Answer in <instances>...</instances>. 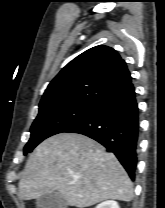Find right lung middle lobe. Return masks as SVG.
<instances>
[{
	"mask_svg": "<svg viewBox=\"0 0 165 208\" xmlns=\"http://www.w3.org/2000/svg\"><path fill=\"white\" fill-rule=\"evenodd\" d=\"M95 103L64 102L39 108V113L31 126V138L24 148V155L31 152L44 139L66 132L84 119Z\"/></svg>",
	"mask_w": 165,
	"mask_h": 208,
	"instance_id": "right-lung-middle-lobe-1",
	"label": "right lung middle lobe"
}]
</instances>
